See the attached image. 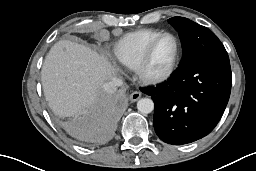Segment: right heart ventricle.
<instances>
[{"mask_svg":"<svg viewBox=\"0 0 256 171\" xmlns=\"http://www.w3.org/2000/svg\"><path fill=\"white\" fill-rule=\"evenodd\" d=\"M161 33L156 29H140L125 34L113 47L114 58L121 65L135 69L148 43Z\"/></svg>","mask_w":256,"mask_h":171,"instance_id":"right-heart-ventricle-1","label":"right heart ventricle"}]
</instances>
